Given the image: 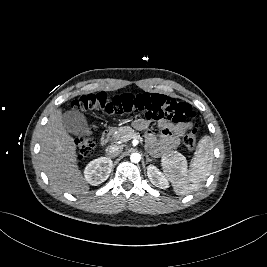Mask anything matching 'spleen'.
<instances>
[{
    "mask_svg": "<svg viewBox=\"0 0 267 267\" xmlns=\"http://www.w3.org/2000/svg\"><path fill=\"white\" fill-rule=\"evenodd\" d=\"M212 162V138L205 135L197 145L190 169L187 167L185 157L178 152L173 159L164 160L162 166L176 194L188 195L199 189L202 182L209 176Z\"/></svg>",
    "mask_w": 267,
    "mask_h": 267,
    "instance_id": "obj_1",
    "label": "spleen"
}]
</instances>
